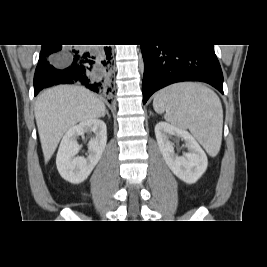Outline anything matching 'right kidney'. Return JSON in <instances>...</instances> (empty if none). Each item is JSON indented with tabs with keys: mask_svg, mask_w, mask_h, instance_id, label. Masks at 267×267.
Returning a JSON list of instances; mask_svg holds the SVG:
<instances>
[{
	"mask_svg": "<svg viewBox=\"0 0 267 267\" xmlns=\"http://www.w3.org/2000/svg\"><path fill=\"white\" fill-rule=\"evenodd\" d=\"M93 132L95 137L88 143L87 158L76 156L81 149L79 136ZM107 142V128L104 121L89 119L70 128L63 137L56 157L57 169L65 180L78 184L83 182L100 160Z\"/></svg>",
	"mask_w": 267,
	"mask_h": 267,
	"instance_id": "1",
	"label": "right kidney"
}]
</instances>
